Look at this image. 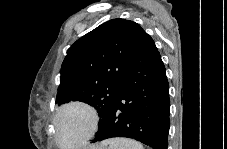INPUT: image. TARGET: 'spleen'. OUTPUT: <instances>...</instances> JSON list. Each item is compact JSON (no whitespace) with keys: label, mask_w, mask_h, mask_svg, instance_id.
Returning <instances> with one entry per match:
<instances>
[{"label":"spleen","mask_w":227,"mask_h":149,"mask_svg":"<svg viewBox=\"0 0 227 149\" xmlns=\"http://www.w3.org/2000/svg\"><path fill=\"white\" fill-rule=\"evenodd\" d=\"M109 149H143L141 143L128 138H113L103 142Z\"/></svg>","instance_id":"1"}]
</instances>
